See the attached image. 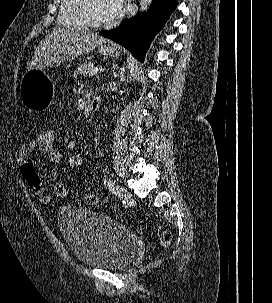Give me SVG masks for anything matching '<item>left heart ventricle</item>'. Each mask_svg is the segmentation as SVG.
Returning <instances> with one entry per match:
<instances>
[{
  "label": "left heart ventricle",
  "instance_id": "1",
  "mask_svg": "<svg viewBox=\"0 0 272 303\" xmlns=\"http://www.w3.org/2000/svg\"><path fill=\"white\" fill-rule=\"evenodd\" d=\"M90 11L93 19L97 22L104 23L111 21L106 0H91Z\"/></svg>",
  "mask_w": 272,
  "mask_h": 303
}]
</instances>
